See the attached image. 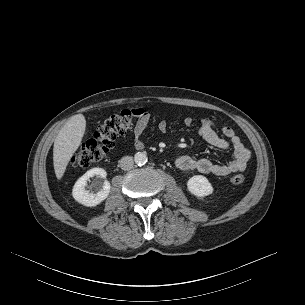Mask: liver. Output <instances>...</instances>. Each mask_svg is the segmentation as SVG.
Wrapping results in <instances>:
<instances>
[{
    "label": "liver",
    "instance_id": "6515ba94",
    "mask_svg": "<svg viewBox=\"0 0 305 305\" xmlns=\"http://www.w3.org/2000/svg\"><path fill=\"white\" fill-rule=\"evenodd\" d=\"M86 130V119L83 114L72 116L62 127L54 141L53 165L55 175L60 180L71 157L82 142Z\"/></svg>",
    "mask_w": 305,
    "mask_h": 305
}]
</instances>
